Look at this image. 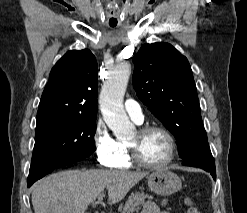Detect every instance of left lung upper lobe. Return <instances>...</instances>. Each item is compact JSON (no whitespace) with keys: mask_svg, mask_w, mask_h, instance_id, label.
<instances>
[{"mask_svg":"<svg viewBox=\"0 0 247 213\" xmlns=\"http://www.w3.org/2000/svg\"><path fill=\"white\" fill-rule=\"evenodd\" d=\"M133 86L139 99L169 129L186 158L208 141L190 64L171 44L143 45L133 57Z\"/></svg>","mask_w":247,"mask_h":213,"instance_id":"1","label":"left lung upper lobe"}]
</instances>
